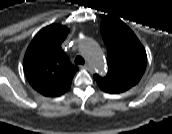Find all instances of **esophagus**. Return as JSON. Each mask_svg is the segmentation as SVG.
Returning a JSON list of instances; mask_svg holds the SVG:
<instances>
[{
	"label": "esophagus",
	"mask_w": 172,
	"mask_h": 134,
	"mask_svg": "<svg viewBox=\"0 0 172 134\" xmlns=\"http://www.w3.org/2000/svg\"><path fill=\"white\" fill-rule=\"evenodd\" d=\"M82 68L87 69V70H92L89 64L83 65Z\"/></svg>",
	"instance_id": "34e87169"
}]
</instances>
